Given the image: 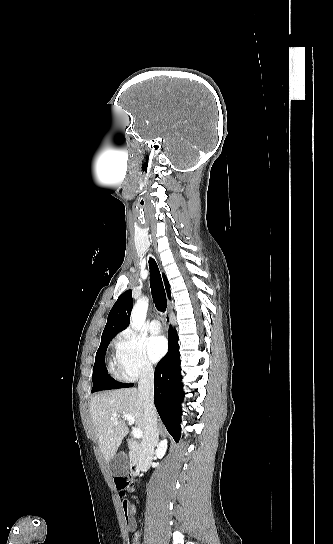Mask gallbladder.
<instances>
[{
  "mask_svg": "<svg viewBox=\"0 0 333 544\" xmlns=\"http://www.w3.org/2000/svg\"><path fill=\"white\" fill-rule=\"evenodd\" d=\"M110 468L113 476L126 475L130 468V461L125 452L118 453L110 461Z\"/></svg>",
  "mask_w": 333,
  "mask_h": 544,
  "instance_id": "1",
  "label": "gallbladder"
}]
</instances>
